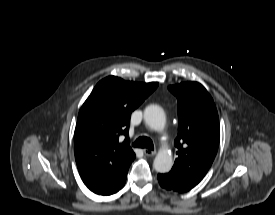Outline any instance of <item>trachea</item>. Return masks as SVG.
I'll return each instance as SVG.
<instances>
[{"instance_id":"3493384b","label":"trachea","mask_w":275,"mask_h":215,"mask_svg":"<svg viewBox=\"0 0 275 215\" xmlns=\"http://www.w3.org/2000/svg\"><path fill=\"white\" fill-rule=\"evenodd\" d=\"M132 145L138 148L154 149L153 142L149 137H139Z\"/></svg>"}]
</instances>
